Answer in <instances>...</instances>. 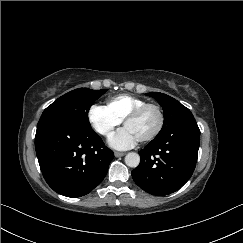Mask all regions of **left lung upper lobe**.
Listing matches in <instances>:
<instances>
[{"mask_svg": "<svg viewBox=\"0 0 243 243\" xmlns=\"http://www.w3.org/2000/svg\"><path fill=\"white\" fill-rule=\"evenodd\" d=\"M146 95L155 98L162 106L164 111V125L158 135L164 134L165 132L172 130L182 122L194 118L188 108H186L176 99L166 94L151 92L147 93Z\"/></svg>", "mask_w": 243, "mask_h": 243, "instance_id": "5c2ea615", "label": "left lung upper lobe"}]
</instances>
